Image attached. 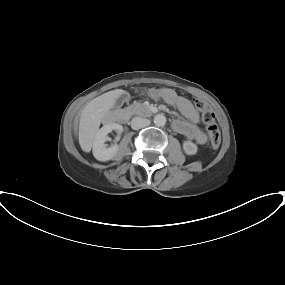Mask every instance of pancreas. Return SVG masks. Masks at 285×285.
<instances>
[{
	"mask_svg": "<svg viewBox=\"0 0 285 285\" xmlns=\"http://www.w3.org/2000/svg\"><path fill=\"white\" fill-rule=\"evenodd\" d=\"M126 110L127 111H130L131 113H133V107L131 106V107H128V108H126Z\"/></svg>",
	"mask_w": 285,
	"mask_h": 285,
	"instance_id": "obj_1",
	"label": "pancreas"
}]
</instances>
